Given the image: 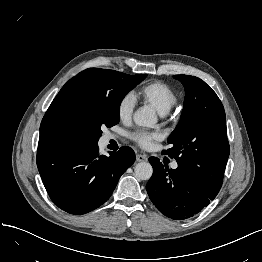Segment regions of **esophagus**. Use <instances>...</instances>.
Segmentation results:
<instances>
[{"label":"esophagus","mask_w":262,"mask_h":262,"mask_svg":"<svg viewBox=\"0 0 262 262\" xmlns=\"http://www.w3.org/2000/svg\"><path fill=\"white\" fill-rule=\"evenodd\" d=\"M148 158L146 155H142V154H137L136 155V161L137 162H143V161H147Z\"/></svg>","instance_id":"obj_1"}]
</instances>
